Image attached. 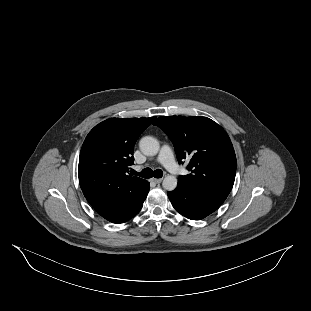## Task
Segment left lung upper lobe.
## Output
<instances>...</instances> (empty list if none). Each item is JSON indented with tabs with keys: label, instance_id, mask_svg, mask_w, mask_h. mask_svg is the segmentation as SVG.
<instances>
[{
	"label": "left lung upper lobe",
	"instance_id": "obj_1",
	"mask_svg": "<svg viewBox=\"0 0 311 311\" xmlns=\"http://www.w3.org/2000/svg\"><path fill=\"white\" fill-rule=\"evenodd\" d=\"M160 127L173 142L177 159L188 158L190 174L180 176L178 184L222 195L230 193L236 174V156L226 131L206 117H159Z\"/></svg>",
	"mask_w": 311,
	"mask_h": 311
}]
</instances>
